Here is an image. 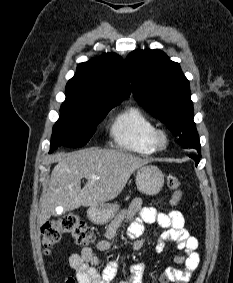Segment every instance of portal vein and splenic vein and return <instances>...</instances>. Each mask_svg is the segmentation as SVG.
Here are the masks:
<instances>
[{
    "instance_id": "portal-vein-and-splenic-vein-1",
    "label": "portal vein and splenic vein",
    "mask_w": 233,
    "mask_h": 283,
    "mask_svg": "<svg viewBox=\"0 0 233 283\" xmlns=\"http://www.w3.org/2000/svg\"><path fill=\"white\" fill-rule=\"evenodd\" d=\"M91 178H92V179H99V177H97V176H95V175H92Z\"/></svg>"
}]
</instances>
